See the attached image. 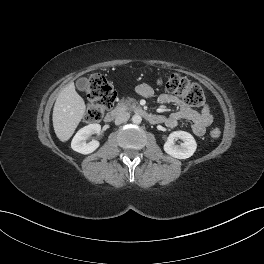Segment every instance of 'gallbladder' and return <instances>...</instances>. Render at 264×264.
<instances>
[{
  "instance_id": "1",
  "label": "gallbladder",
  "mask_w": 264,
  "mask_h": 264,
  "mask_svg": "<svg viewBox=\"0 0 264 264\" xmlns=\"http://www.w3.org/2000/svg\"><path fill=\"white\" fill-rule=\"evenodd\" d=\"M76 87L80 91H84L88 87V80L86 78H80L76 82Z\"/></svg>"
}]
</instances>
